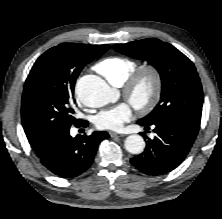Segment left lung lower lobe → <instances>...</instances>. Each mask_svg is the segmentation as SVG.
Listing matches in <instances>:
<instances>
[{
    "label": "left lung lower lobe",
    "mask_w": 222,
    "mask_h": 219,
    "mask_svg": "<svg viewBox=\"0 0 222 219\" xmlns=\"http://www.w3.org/2000/svg\"><path fill=\"white\" fill-rule=\"evenodd\" d=\"M148 131L152 125L157 136L146 142L145 151L131 163L149 175H161L175 169L185 159L199 131L198 125L171 117L153 123L138 121ZM147 138L145 133H141Z\"/></svg>",
    "instance_id": "obj_1"
}]
</instances>
